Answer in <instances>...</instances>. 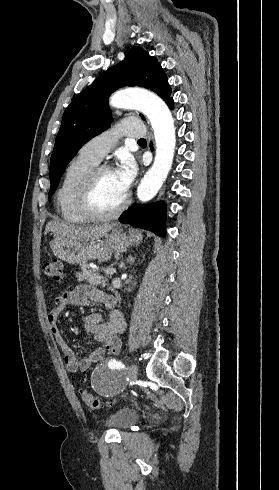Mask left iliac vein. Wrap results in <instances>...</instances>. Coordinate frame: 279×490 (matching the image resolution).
<instances>
[{"label": "left iliac vein", "mask_w": 279, "mask_h": 490, "mask_svg": "<svg viewBox=\"0 0 279 490\" xmlns=\"http://www.w3.org/2000/svg\"><path fill=\"white\" fill-rule=\"evenodd\" d=\"M127 374L130 379L135 380L138 377V367L136 364H131L128 367Z\"/></svg>", "instance_id": "obj_1"}]
</instances>
